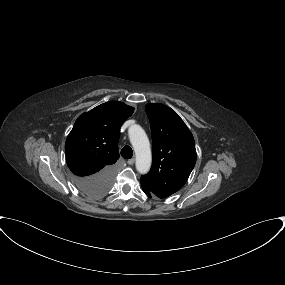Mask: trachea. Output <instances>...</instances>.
<instances>
[{
  "label": "trachea",
  "instance_id": "3493384b",
  "mask_svg": "<svg viewBox=\"0 0 285 285\" xmlns=\"http://www.w3.org/2000/svg\"><path fill=\"white\" fill-rule=\"evenodd\" d=\"M121 155L125 159L132 158V156H133L132 148L130 146L123 147L122 150H121Z\"/></svg>",
  "mask_w": 285,
  "mask_h": 285
}]
</instances>
